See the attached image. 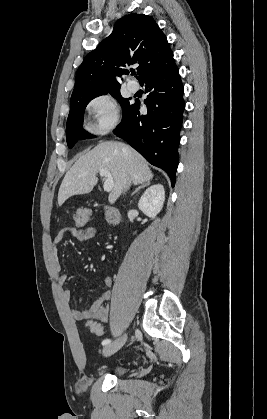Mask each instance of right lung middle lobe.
Masks as SVG:
<instances>
[{"mask_svg":"<svg viewBox=\"0 0 267 419\" xmlns=\"http://www.w3.org/2000/svg\"><path fill=\"white\" fill-rule=\"evenodd\" d=\"M109 93L118 100V102L120 103L122 107L123 115H124L131 106V104L129 103V99L123 98L120 94V90L109 91ZM104 94H107V92L85 96L81 99L71 101L70 112H69L67 126H66V140H67V145L69 148H72L78 139L82 140V139L92 137L82 128L84 110L87 104L92 99L100 95H104Z\"/></svg>","mask_w":267,"mask_h":419,"instance_id":"right-lung-middle-lobe-1","label":"right lung middle lobe"}]
</instances>
